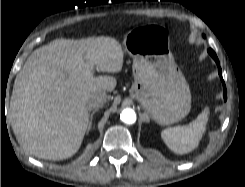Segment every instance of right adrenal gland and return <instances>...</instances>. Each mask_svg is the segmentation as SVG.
<instances>
[{
	"label": "right adrenal gland",
	"instance_id": "1",
	"mask_svg": "<svg viewBox=\"0 0 245 187\" xmlns=\"http://www.w3.org/2000/svg\"><path fill=\"white\" fill-rule=\"evenodd\" d=\"M98 111V109H94L92 110L91 112V115H90V122H89V126H88V131L91 129V126H92V122H93V115Z\"/></svg>",
	"mask_w": 245,
	"mask_h": 187
}]
</instances>
